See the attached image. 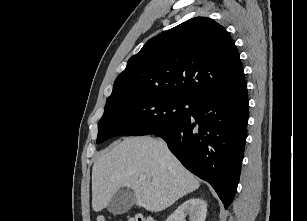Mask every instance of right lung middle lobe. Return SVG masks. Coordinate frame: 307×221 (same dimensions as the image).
Listing matches in <instances>:
<instances>
[{
    "mask_svg": "<svg viewBox=\"0 0 307 221\" xmlns=\"http://www.w3.org/2000/svg\"><path fill=\"white\" fill-rule=\"evenodd\" d=\"M193 101L161 93L121 98L105 105L98 123L96 143L118 135H147L176 125L187 118Z\"/></svg>",
    "mask_w": 307,
    "mask_h": 221,
    "instance_id": "dd1d6c3e",
    "label": "right lung middle lobe"
}]
</instances>
